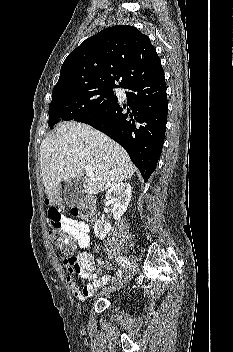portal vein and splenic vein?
Here are the masks:
<instances>
[{
  "label": "portal vein and splenic vein",
  "mask_w": 233,
  "mask_h": 352,
  "mask_svg": "<svg viewBox=\"0 0 233 352\" xmlns=\"http://www.w3.org/2000/svg\"><path fill=\"white\" fill-rule=\"evenodd\" d=\"M85 172L86 174L91 175L93 173V168L90 165H86Z\"/></svg>",
  "instance_id": "obj_1"
}]
</instances>
